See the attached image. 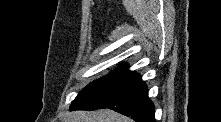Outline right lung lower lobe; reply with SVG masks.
Here are the masks:
<instances>
[{
    "label": "right lung lower lobe",
    "instance_id": "right-lung-lower-lobe-1",
    "mask_svg": "<svg viewBox=\"0 0 221 122\" xmlns=\"http://www.w3.org/2000/svg\"><path fill=\"white\" fill-rule=\"evenodd\" d=\"M147 86L136 72L84 101L73 103L71 110L109 108L131 117L136 122H156L155 108L148 99Z\"/></svg>",
    "mask_w": 221,
    "mask_h": 122
}]
</instances>
